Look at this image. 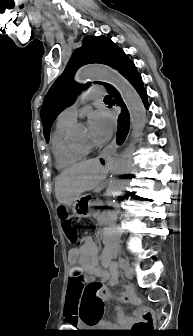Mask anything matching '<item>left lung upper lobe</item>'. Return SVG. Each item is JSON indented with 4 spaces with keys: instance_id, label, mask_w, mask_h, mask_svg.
<instances>
[{
    "instance_id": "1",
    "label": "left lung upper lobe",
    "mask_w": 193,
    "mask_h": 336,
    "mask_svg": "<svg viewBox=\"0 0 193 336\" xmlns=\"http://www.w3.org/2000/svg\"><path fill=\"white\" fill-rule=\"evenodd\" d=\"M122 51L105 37H86L81 48L75 50L63 74L49 89L41 108L44 137L49 139V132L54 119L74 101V96L85 88L73 81L75 71L89 63L106 64L114 68L116 58ZM100 83V82H96ZM102 84V83H100ZM106 87L109 84L103 83ZM87 86V85H86Z\"/></svg>"
}]
</instances>
